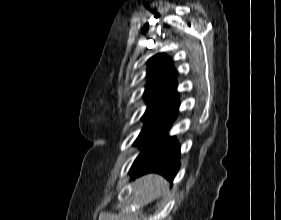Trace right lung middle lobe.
I'll return each mask as SVG.
<instances>
[{
	"instance_id": "obj_1",
	"label": "right lung middle lobe",
	"mask_w": 281,
	"mask_h": 220,
	"mask_svg": "<svg viewBox=\"0 0 281 220\" xmlns=\"http://www.w3.org/2000/svg\"><path fill=\"white\" fill-rule=\"evenodd\" d=\"M145 126L136 140V144L147 147L169 124L170 119L144 118Z\"/></svg>"
}]
</instances>
